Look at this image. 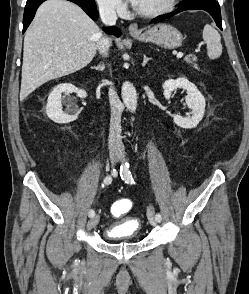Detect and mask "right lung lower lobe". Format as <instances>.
Instances as JSON below:
<instances>
[{"label":"right lung lower lobe","mask_w":249,"mask_h":294,"mask_svg":"<svg viewBox=\"0 0 249 294\" xmlns=\"http://www.w3.org/2000/svg\"><path fill=\"white\" fill-rule=\"evenodd\" d=\"M45 0H27L25 10H24V17H23V33L31 23L36 13L37 8L43 3ZM73 3L79 5L90 18L97 20L98 12L96 10V4L94 0H69ZM105 32L108 34H114L117 37L120 36L119 29L115 27H107L104 28Z\"/></svg>","instance_id":"98d812e1"}]
</instances>
